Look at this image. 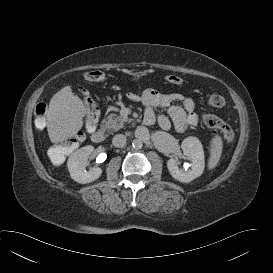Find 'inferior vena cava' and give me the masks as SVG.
Listing matches in <instances>:
<instances>
[{
  "label": "inferior vena cava",
  "mask_w": 273,
  "mask_h": 273,
  "mask_svg": "<svg viewBox=\"0 0 273 273\" xmlns=\"http://www.w3.org/2000/svg\"><path fill=\"white\" fill-rule=\"evenodd\" d=\"M112 143L115 147H123L126 144V136L123 134H117L113 137Z\"/></svg>",
  "instance_id": "obj_1"
}]
</instances>
